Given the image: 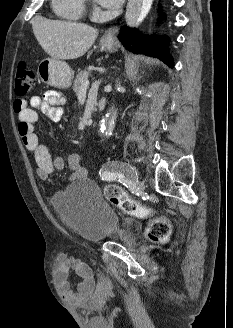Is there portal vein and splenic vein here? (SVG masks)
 Instances as JSON below:
<instances>
[{"label":"portal vein and splenic vein","mask_w":233,"mask_h":328,"mask_svg":"<svg viewBox=\"0 0 233 328\" xmlns=\"http://www.w3.org/2000/svg\"><path fill=\"white\" fill-rule=\"evenodd\" d=\"M88 86H89V80L87 79V80H85V82L82 84V86H81V90H86Z\"/></svg>","instance_id":"18ae733b"}]
</instances>
